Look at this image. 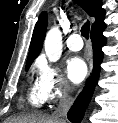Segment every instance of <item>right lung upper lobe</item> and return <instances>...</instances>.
<instances>
[{"mask_svg": "<svg viewBox=\"0 0 118 123\" xmlns=\"http://www.w3.org/2000/svg\"><path fill=\"white\" fill-rule=\"evenodd\" d=\"M77 3L88 13L89 16L95 17L96 21L91 28V34L100 32L105 29L104 16L105 11L101 8V0H77ZM47 27V14L42 12L35 25L34 32L30 43L26 68H29L33 60L39 55L45 38Z\"/></svg>", "mask_w": 118, "mask_h": 123, "instance_id": "cb5924a9", "label": "right lung upper lobe"}]
</instances>
